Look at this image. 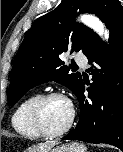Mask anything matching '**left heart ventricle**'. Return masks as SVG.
Wrapping results in <instances>:
<instances>
[{"mask_svg": "<svg viewBox=\"0 0 123 152\" xmlns=\"http://www.w3.org/2000/svg\"><path fill=\"white\" fill-rule=\"evenodd\" d=\"M70 114V104L61 98L49 100L43 108L44 123L51 131L64 127L70 118Z\"/></svg>", "mask_w": 123, "mask_h": 152, "instance_id": "left-heart-ventricle-1", "label": "left heart ventricle"}]
</instances>
